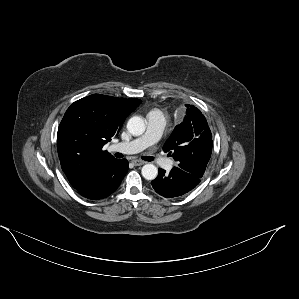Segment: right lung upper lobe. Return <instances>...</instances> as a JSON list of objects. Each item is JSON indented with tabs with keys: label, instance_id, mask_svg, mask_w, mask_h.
<instances>
[{
	"label": "right lung upper lobe",
	"instance_id": "right-lung-upper-lobe-1",
	"mask_svg": "<svg viewBox=\"0 0 299 299\" xmlns=\"http://www.w3.org/2000/svg\"><path fill=\"white\" fill-rule=\"evenodd\" d=\"M140 102L94 94L67 109L58 128L57 148L62 170L75 189L85 187L100 167L115 159L102 148Z\"/></svg>",
	"mask_w": 299,
	"mask_h": 299
}]
</instances>
